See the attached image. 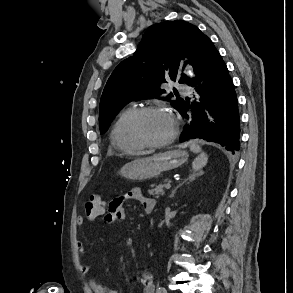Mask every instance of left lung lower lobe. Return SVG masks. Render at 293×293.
Wrapping results in <instances>:
<instances>
[{
    "instance_id": "obj_1",
    "label": "left lung lower lobe",
    "mask_w": 293,
    "mask_h": 293,
    "mask_svg": "<svg viewBox=\"0 0 293 293\" xmlns=\"http://www.w3.org/2000/svg\"><path fill=\"white\" fill-rule=\"evenodd\" d=\"M193 91L182 99L178 111L190 126L181 141L204 139L216 142L227 150H239L240 119L237 96L226 64L209 40L198 81Z\"/></svg>"
}]
</instances>
